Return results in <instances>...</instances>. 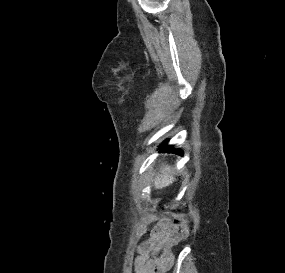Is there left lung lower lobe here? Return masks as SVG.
I'll use <instances>...</instances> for the list:
<instances>
[{
  "label": "left lung lower lobe",
  "instance_id": "left-lung-lower-lobe-1",
  "mask_svg": "<svg viewBox=\"0 0 285 273\" xmlns=\"http://www.w3.org/2000/svg\"><path fill=\"white\" fill-rule=\"evenodd\" d=\"M162 150L161 151H169V152H173V153H177L179 155H182V150L180 149H173L172 146L167 145V141H165L161 147Z\"/></svg>",
  "mask_w": 285,
  "mask_h": 273
}]
</instances>
